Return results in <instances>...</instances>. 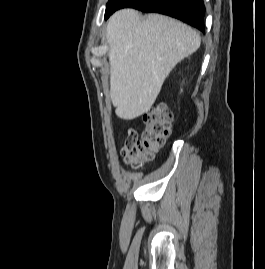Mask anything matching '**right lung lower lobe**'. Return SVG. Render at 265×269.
Wrapping results in <instances>:
<instances>
[{"instance_id":"obj_1","label":"right lung lower lobe","mask_w":265,"mask_h":269,"mask_svg":"<svg viewBox=\"0 0 265 269\" xmlns=\"http://www.w3.org/2000/svg\"><path fill=\"white\" fill-rule=\"evenodd\" d=\"M125 7L165 14L205 32L203 0H115L105 13V19H108L116 10Z\"/></svg>"}]
</instances>
